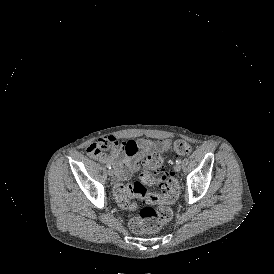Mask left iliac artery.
<instances>
[{
    "mask_svg": "<svg viewBox=\"0 0 274 274\" xmlns=\"http://www.w3.org/2000/svg\"><path fill=\"white\" fill-rule=\"evenodd\" d=\"M180 163H181V159H177L176 164H180Z\"/></svg>",
    "mask_w": 274,
    "mask_h": 274,
    "instance_id": "44dca946",
    "label": "left iliac artery"
}]
</instances>
